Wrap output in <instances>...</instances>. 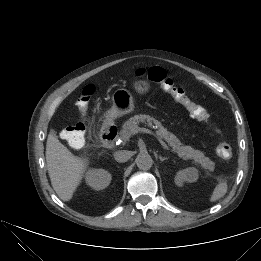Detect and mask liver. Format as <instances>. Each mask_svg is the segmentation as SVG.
Here are the masks:
<instances>
[{"label": "liver", "mask_w": 261, "mask_h": 261, "mask_svg": "<svg viewBox=\"0 0 261 261\" xmlns=\"http://www.w3.org/2000/svg\"><path fill=\"white\" fill-rule=\"evenodd\" d=\"M46 162L53 189L61 200L70 201L88 167V161L72 154L50 133L46 143Z\"/></svg>", "instance_id": "1"}]
</instances>
